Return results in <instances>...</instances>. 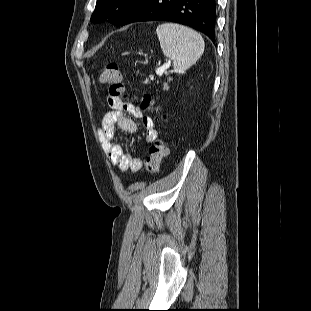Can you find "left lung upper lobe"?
Masks as SVG:
<instances>
[{
    "instance_id": "1",
    "label": "left lung upper lobe",
    "mask_w": 311,
    "mask_h": 311,
    "mask_svg": "<svg viewBox=\"0 0 311 311\" xmlns=\"http://www.w3.org/2000/svg\"><path fill=\"white\" fill-rule=\"evenodd\" d=\"M136 0H97L95 11L92 14L93 23L109 22L119 25L122 16L131 8Z\"/></svg>"
}]
</instances>
